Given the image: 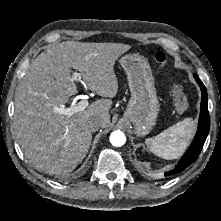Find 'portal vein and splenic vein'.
Segmentation results:
<instances>
[{
	"mask_svg": "<svg viewBox=\"0 0 221 221\" xmlns=\"http://www.w3.org/2000/svg\"><path fill=\"white\" fill-rule=\"evenodd\" d=\"M80 78H81L80 73H77V72L73 73L72 80L81 82ZM88 104L89 103H88L87 98L83 96L82 100L78 102L77 104H72L70 107H65L64 105L60 107H55L54 111L56 113L63 114V115L70 117L75 113L85 110Z\"/></svg>",
	"mask_w": 221,
	"mask_h": 221,
	"instance_id": "portal-vein-and-splenic-vein-1",
	"label": "portal vein and splenic vein"
}]
</instances>
